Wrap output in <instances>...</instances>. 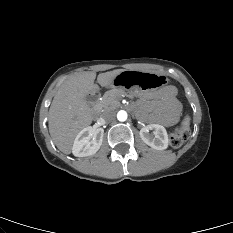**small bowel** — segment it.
Segmentation results:
<instances>
[{
	"instance_id": "small-bowel-1",
	"label": "small bowel",
	"mask_w": 233,
	"mask_h": 233,
	"mask_svg": "<svg viewBox=\"0 0 233 233\" xmlns=\"http://www.w3.org/2000/svg\"><path fill=\"white\" fill-rule=\"evenodd\" d=\"M141 97L143 100L154 97V100H152L146 108L141 110V115L143 117L146 116V110L149 109L152 112L148 116L151 121L162 124H172L177 121L181 106L176 98L175 89L173 87H166L153 96L143 93Z\"/></svg>"
}]
</instances>
